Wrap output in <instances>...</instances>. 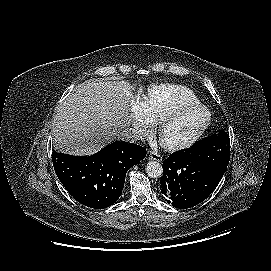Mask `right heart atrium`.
<instances>
[{
  "instance_id": "right-heart-atrium-1",
  "label": "right heart atrium",
  "mask_w": 271,
  "mask_h": 271,
  "mask_svg": "<svg viewBox=\"0 0 271 271\" xmlns=\"http://www.w3.org/2000/svg\"><path fill=\"white\" fill-rule=\"evenodd\" d=\"M129 122L138 136H144L151 130L152 123L147 118L144 110V98L140 97L136 99Z\"/></svg>"
}]
</instances>
